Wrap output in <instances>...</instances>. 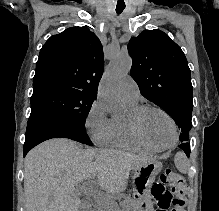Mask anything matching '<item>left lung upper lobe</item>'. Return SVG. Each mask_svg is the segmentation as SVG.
Masks as SVG:
<instances>
[{
    "instance_id": "5c2ea615",
    "label": "left lung upper lobe",
    "mask_w": 219,
    "mask_h": 211,
    "mask_svg": "<svg viewBox=\"0 0 219 211\" xmlns=\"http://www.w3.org/2000/svg\"><path fill=\"white\" fill-rule=\"evenodd\" d=\"M131 76L141 94L163 108L181 128L180 141L189 140L193 109L191 74L181 48L158 29L130 39Z\"/></svg>"
}]
</instances>
